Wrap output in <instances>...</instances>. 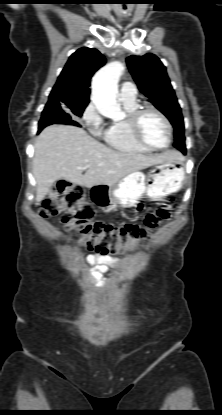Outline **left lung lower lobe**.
Instances as JSON below:
<instances>
[{"mask_svg": "<svg viewBox=\"0 0 222 415\" xmlns=\"http://www.w3.org/2000/svg\"><path fill=\"white\" fill-rule=\"evenodd\" d=\"M183 153L185 154V153H186V150H185V151H183Z\"/></svg>", "mask_w": 222, "mask_h": 415, "instance_id": "left-lung-lower-lobe-1", "label": "left lung lower lobe"}]
</instances>
